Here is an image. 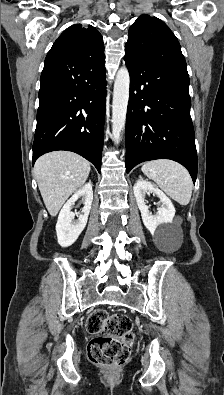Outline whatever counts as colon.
<instances>
[{"mask_svg":"<svg viewBox=\"0 0 224 395\" xmlns=\"http://www.w3.org/2000/svg\"><path fill=\"white\" fill-rule=\"evenodd\" d=\"M86 329L95 335L88 346L92 363L112 368L128 362L134 344L133 324L129 317L95 310L87 318Z\"/></svg>","mask_w":224,"mask_h":395,"instance_id":"colon-1","label":"colon"}]
</instances>
